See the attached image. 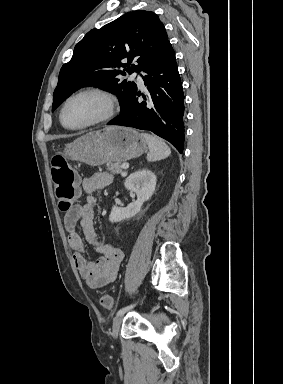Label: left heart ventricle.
<instances>
[{
  "instance_id": "b2bd125f",
  "label": "left heart ventricle",
  "mask_w": 283,
  "mask_h": 384,
  "mask_svg": "<svg viewBox=\"0 0 283 384\" xmlns=\"http://www.w3.org/2000/svg\"><path fill=\"white\" fill-rule=\"evenodd\" d=\"M102 102L92 95H83L72 99L64 111V123L76 127L90 122L102 111Z\"/></svg>"
}]
</instances>
